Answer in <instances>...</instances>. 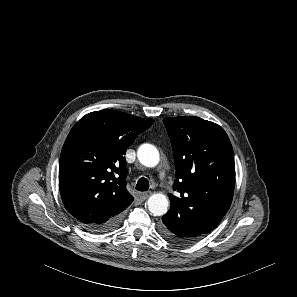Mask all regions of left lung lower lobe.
Masks as SVG:
<instances>
[{"label": "left lung lower lobe", "instance_id": "obj_1", "mask_svg": "<svg viewBox=\"0 0 297 297\" xmlns=\"http://www.w3.org/2000/svg\"><path fill=\"white\" fill-rule=\"evenodd\" d=\"M172 210V209H171ZM174 211L167 212L163 217V224L161 225L162 235L170 242L177 244H187L192 242L188 238L184 237L180 232L179 226L174 218Z\"/></svg>", "mask_w": 297, "mask_h": 297}]
</instances>
